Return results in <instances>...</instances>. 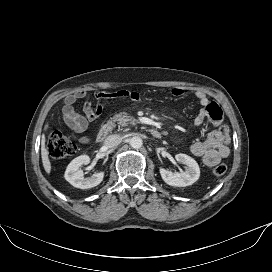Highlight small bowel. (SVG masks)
Segmentation results:
<instances>
[{
    "label": "small bowel",
    "mask_w": 272,
    "mask_h": 272,
    "mask_svg": "<svg viewBox=\"0 0 272 272\" xmlns=\"http://www.w3.org/2000/svg\"><path fill=\"white\" fill-rule=\"evenodd\" d=\"M171 93L175 97H182L185 91L181 87H175L171 90ZM194 94L201 106L194 119L195 125L200 126L206 121H210L214 128L210 131L206 139L194 142L190 145L189 149L193 155L201 157L202 162L206 166L212 167L230 154L228 129L221 123V108L215 102L209 101L202 91H195ZM94 98L96 100L95 108L92 106L91 97L85 91L70 94L64 100L62 108L64 123L75 133L81 134L79 141L82 143L89 141V135L84 133L88 130L90 123L101 116L104 101L116 98L138 101L140 95L138 92L131 90H117L114 92L97 91L94 94ZM78 100L83 101V115L77 113L74 109V105Z\"/></svg>",
    "instance_id": "small-bowel-1"
}]
</instances>
